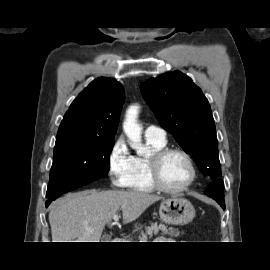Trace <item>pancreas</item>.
<instances>
[{
    "mask_svg": "<svg viewBox=\"0 0 270 270\" xmlns=\"http://www.w3.org/2000/svg\"><path fill=\"white\" fill-rule=\"evenodd\" d=\"M162 231L163 234H168L171 237H177L179 236L178 229L169 228L167 229V226L164 224H157V223H151L150 226L146 227V232H142L141 236L139 237V242H147L148 236L151 238L154 235L158 234L159 231Z\"/></svg>",
    "mask_w": 270,
    "mask_h": 270,
    "instance_id": "cf45deb5",
    "label": "pancreas"
}]
</instances>
